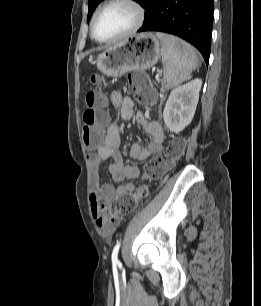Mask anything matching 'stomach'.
I'll return each mask as SVG.
<instances>
[{
  "mask_svg": "<svg viewBox=\"0 0 261 306\" xmlns=\"http://www.w3.org/2000/svg\"><path fill=\"white\" fill-rule=\"evenodd\" d=\"M161 43L151 32L134 34L100 53L95 64L109 77H119L131 71H145L161 56Z\"/></svg>",
  "mask_w": 261,
  "mask_h": 306,
  "instance_id": "obj_1",
  "label": "stomach"
}]
</instances>
